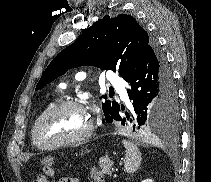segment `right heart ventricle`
<instances>
[{"instance_id": "1", "label": "right heart ventricle", "mask_w": 211, "mask_h": 182, "mask_svg": "<svg viewBox=\"0 0 211 182\" xmlns=\"http://www.w3.org/2000/svg\"><path fill=\"white\" fill-rule=\"evenodd\" d=\"M54 104H55V101L50 102V103L46 106V108L39 114V116H40L43 112H45L47 109H49L51 106H53ZM39 116L35 119V121H34V123H33V125H32V128H31V139H32V141H33L34 144H35V142H34V140H33V127H34V124H35L36 120L39 118ZM35 145H36V144H35Z\"/></svg>"}]
</instances>
